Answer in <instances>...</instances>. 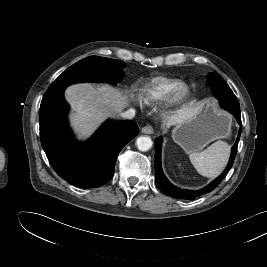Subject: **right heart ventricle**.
<instances>
[{"instance_id":"e07e8e85","label":"right heart ventricle","mask_w":267,"mask_h":267,"mask_svg":"<svg viewBox=\"0 0 267 267\" xmlns=\"http://www.w3.org/2000/svg\"><path fill=\"white\" fill-rule=\"evenodd\" d=\"M179 84L178 80L155 78L141 88L140 99L146 104L161 101Z\"/></svg>"}]
</instances>
